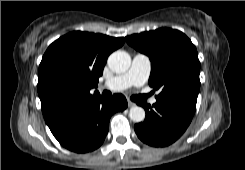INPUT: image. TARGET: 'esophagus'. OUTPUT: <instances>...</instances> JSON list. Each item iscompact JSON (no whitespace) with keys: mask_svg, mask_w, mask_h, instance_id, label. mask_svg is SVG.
Listing matches in <instances>:
<instances>
[{"mask_svg":"<svg viewBox=\"0 0 245 170\" xmlns=\"http://www.w3.org/2000/svg\"><path fill=\"white\" fill-rule=\"evenodd\" d=\"M136 104L130 100H128V107H133L135 106Z\"/></svg>","mask_w":245,"mask_h":170,"instance_id":"obj_1","label":"esophagus"}]
</instances>
